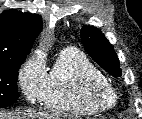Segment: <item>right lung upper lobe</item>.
I'll return each instance as SVG.
<instances>
[{
  "label": "right lung upper lobe",
  "mask_w": 142,
  "mask_h": 119,
  "mask_svg": "<svg viewBox=\"0 0 142 119\" xmlns=\"http://www.w3.org/2000/svg\"><path fill=\"white\" fill-rule=\"evenodd\" d=\"M42 30L39 15L17 10L0 15V61L27 56Z\"/></svg>",
  "instance_id": "obj_1"
}]
</instances>
